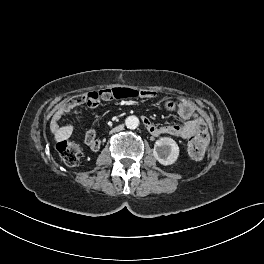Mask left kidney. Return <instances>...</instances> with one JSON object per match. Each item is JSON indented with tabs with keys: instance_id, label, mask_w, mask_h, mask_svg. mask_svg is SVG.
<instances>
[{
	"instance_id": "5707ae66",
	"label": "left kidney",
	"mask_w": 264,
	"mask_h": 264,
	"mask_svg": "<svg viewBox=\"0 0 264 264\" xmlns=\"http://www.w3.org/2000/svg\"><path fill=\"white\" fill-rule=\"evenodd\" d=\"M179 146L170 137H162L155 142L153 155L162 165H171L179 156Z\"/></svg>"
}]
</instances>
